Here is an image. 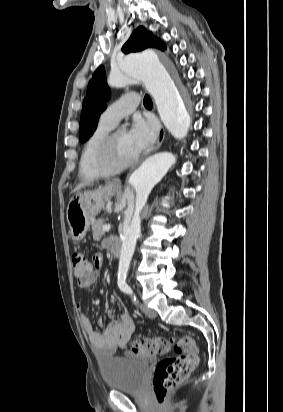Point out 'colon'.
<instances>
[{"mask_svg":"<svg viewBox=\"0 0 283 412\" xmlns=\"http://www.w3.org/2000/svg\"><path fill=\"white\" fill-rule=\"evenodd\" d=\"M94 255L87 259L82 253L72 257L73 274L81 283L88 279L91 270L99 263ZM173 347L178 353L159 362L153 376V391L159 404H164L171 389L185 381L199 363V350L195 339L190 334L175 336L170 339L156 337L133 342V352L141 357L161 355Z\"/></svg>","mask_w":283,"mask_h":412,"instance_id":"obj_1","label":"colon"}]
</instances>
